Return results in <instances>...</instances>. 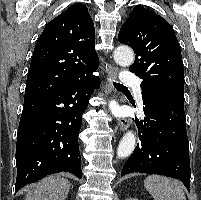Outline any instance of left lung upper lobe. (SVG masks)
I'll return each instance as SVG.
<instances>
[{"instance_id":"left-lung-upper-lobe-1","label":"left lung upper lobe","mask_w":201,"mask_h":200,"mask_svg":"<svg viewBox=\"0 0 201 200\" xmlns=\"http://www.w3.org/2000/svg\"><path fill=\"white\" fill-rule=\"evenodd\" d=\"M118 40L133 48L130 71L143 79L142 91L165 85L184 87L179 43L170 24L155 12L137 5L122 25Z\"/></svg>"}]
</instances>
